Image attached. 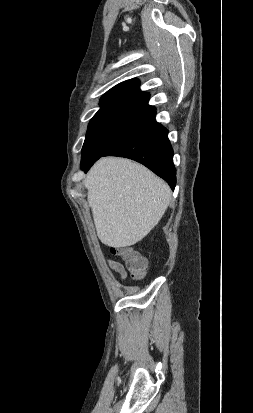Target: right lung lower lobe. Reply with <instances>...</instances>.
<instances>
[{
	"label": "right lung lower lobe",
	"instance_id": "right-lung-lower-lobe-1",
	"mask_svg": "<svg viewBox=\"0 0 253 413\" xmlns=\"http://www.w3.org/2000/svg\"><path fill=\"white\" fill-rule=\"evenodd\" d=\"M167 134L168 131L156 122L155 116H152L138 130L102 156L126 157L142 163L174 189L176 170L173 164V149ZM96 160L81 165L82 170L87 172Z\"/></svg>",
	"mask_w": 253,
	"mask_h": 413
}]
</instances>
